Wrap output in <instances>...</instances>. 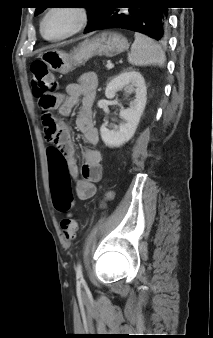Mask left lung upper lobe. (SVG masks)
<instances>
[{
  "label": "left lung upper lobe",
  "mask_w": 213,
  "mask_h": 338,
  "mask_svg": "<svg viewBox=\"0 0 213 338\" xmlns=\"http://www.w3.org/2000/svg\"><path fill=\"white\" fill-rule=\"evenodd\" d=\"M102 0H87L86 3L89 4L88 7H86L88 9V19H89V23L88 26L95 20V18L97 17L100 8H101V3ZM35 16H37L38 14H40L45 8L44 6H38L35 7Z\"/></svg>",
  "instance_id": "5c2ea615"
}]
</instances>
